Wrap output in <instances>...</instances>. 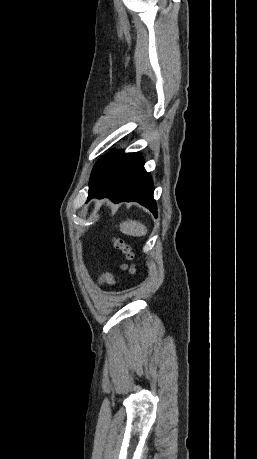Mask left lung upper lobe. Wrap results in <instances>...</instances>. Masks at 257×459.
<instances>
[{
	"label": "left lung upper lobe",
	"instance_id": "5c2ea615",
	"mask_svg": "<svg viewBox=\"0 0 257 459\" xmlns=\"http://www.w3.org/2000/svg\"><path fill=\"white\" fill-rule=\"evenodd\" d=\"M99 167H100V161H98L93 170H92V174H91V179H90V186L92 185L93 181L95 180V178L97 177L98 175V171H99Z\"/></svg>",
	"mask_w": 257,
	"mask_h": 459
}]
</instances>
